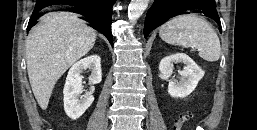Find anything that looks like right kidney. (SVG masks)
Returning <instances> with one entry per match:
<instances>
[{
    "label": "right kidney",
    "instance_id": "ca27d5eb",
    "mask_svg": "<svg viewBox=\"0 0 257 130\" xmlns=\"http://www.w3.org/2000/svg\"><path fill=\"white\" fill-rule=\"evenodd\" d=\"M91 69L89 83L91 85L89 91L84 95L82 86L81 73L83 70ZM101 59L98 55H90L77 63L69 70L63 89L64 94V110L67 116L73 120L81 117L94 101L93 92L94 85L101 82Z\"/></svg>",
    "mask_w": 257,
    "mask_h": 130
}]
</instances>
